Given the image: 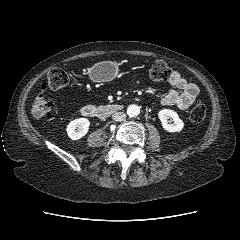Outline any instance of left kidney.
<instances>
[{"instance_id":"5707ae66","label":"left kidney","mask_w":240,"mask_h":240,"mask_svg":"<svg viewBox=\"0 0 240 240\" xmlns=\"http://www.w3.org/2000/svg\"><path fill=\"white\" fill-rule=\"evenodd\" d=\"M158 117L161 121L162 127L164 128V130L168 132H180L184 127L183 121L179 118L178 114L173 110L162 109L158 112ZM169 118L173 119L172 124L168 123Z\"/></svg>"}]
</instances>
